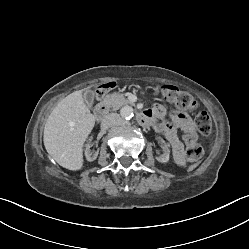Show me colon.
<instances>
[{
	"label": "colon",
	"instance_id": "colon-1",
	"mask_svg": "<svg viewBox=\"0 0 249 249\" xmlns=\"http://www.w3.org/2000/svg\"><path fill=\"white\" fill-rule=\"evenodd\" d=\"M115 86V82H108L102 85L98 91L97 98H102L105 92L113 89ZM154 90L157 95L164 96L167 100L181 107L194 108L196 105L194 98L188 92L180 90L173 85H155ZM194 124L197 132L202 135H208L212 131V119L205 111L199 112L195 116ZM197 132L189 131L183 135L186 143V159L190 163H198L204 156L203 148L196 142Z\"/></svg>",
	"mask_w": 249,
	"mask_h": 249
}]
</instances>
